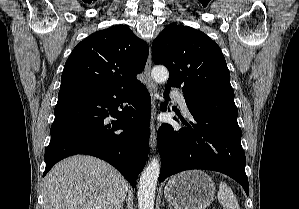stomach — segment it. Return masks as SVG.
I'll return each mask as SVG.
<instances>
[{
  "label": "stomach",
  "mask_w": 299,
  "mask_h": 209,
  "mask_svg": "<svg viewBox=\"0 0 299 209\" xmlns=\"http://www.w3.org/2000/svg\"><path fill=\"white\" fill-rule=\"evenodd\" d=\"M164 195L175 209H206L215 198V186L204 171L189 170L169 180Z\"/></svg>",
  "instance_id": "stomach-1"
}]
</instances>
